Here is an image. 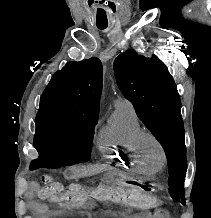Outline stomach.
I'll list each match as a JSON object with an SVG mask.
<instances>
[{
  "instance_id": "0dacf381",
  "label": "stomach",
  "mask_w": 211,
  "mask_h": 218,
  "mask_svg": "<svg viewBox=\"0 0 211 218\" xmlns=\"http://www.w3.org/2000/svg\"><path fill=\"white\" fill-rule=\"evenodd\" d=\"M130 179H131V177H129V176L118 175V176H115V177H109L107 179V182L115 183V184H122V185H129L128 183H125V181H129Z\"/></svg>"
}]
</instances>
